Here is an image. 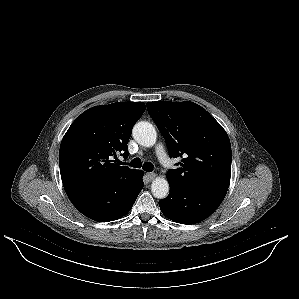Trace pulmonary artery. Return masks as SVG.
<instances>
[{
  "instance_id": "obj_1",
  "label": "pulmonary artery",
  "mask_w": 299,
  "mask_h": 299,
  "mask_svg": "<svg viewBox=\"0 0 299 299\" xmlns=\"http://www.w3.org/2000/svg\"><path fill=\"white\" fill-rule=\"evenodd\" d=\"M155 153H156V156L159 160V162L166 168H169L171 166V162H170V159L164 149V147L159 144L156 149H155Z\"/></svg>"
}]
</instances>
